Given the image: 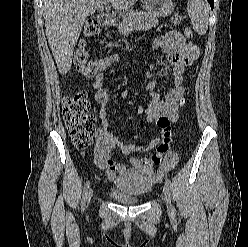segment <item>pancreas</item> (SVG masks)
<instances>
[{
    "label": "pancreas",
    "instance_id": "1",
    "mask_svg": "<svg viewBox=\"0 0 248 247\" xmlns=\"http://www.w3.org/2000/svg\"><path fill=\"white\" fill-rule=\"evenodd\" d=\"M122 22H119L118 31L126 35L133 29L151 28L156 26L158 20L155 16L145 11L129 10L121 15Z\"/></svg>",
    "mask_w": 248,
    "mask_h": 247
}]
</instances>
